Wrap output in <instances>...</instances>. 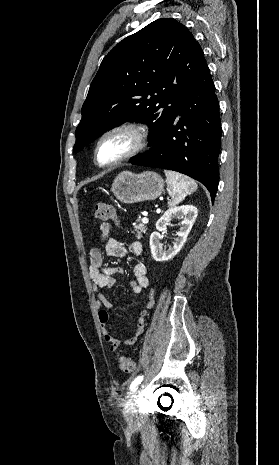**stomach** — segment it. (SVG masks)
Segmentation results:
<instances>
[{
    "instance_id": "1",
    "label": "stomach",
    "mask_w": 279,
    "mask_h": 465,
    "mask_svg": "<svg viewBox=\"0 0 279 465\" xmlns=\"http://www.w3.org/2000/svg\"><path fill=\"white\" fill-rule=\"evenodd\" d=\"M163 190V179L153 171L139 174L123 171L116 176L111 188L114 196L126 204L154 200Z\"/></svg>"
}]
</instances>
